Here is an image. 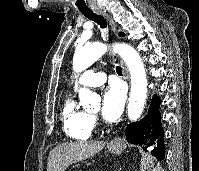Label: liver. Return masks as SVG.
<instances>
[{
    "mask_svg": "<svg viewBox=\"0 0 199 171\" xmlns=\"http://www.w3.org/2000/svg\"><path fill=\"white\" fill-rule=\"evenodd\" d=\"M104 146L103 141L70 142L56 146L49 154L47 171H65L69 165L90 158Z\"/></svg>",
    "mask_w": 199,
    "mask_h": 171,
    "instance_id": "obj_1",
    "label": "liver"
}]
</instances>
